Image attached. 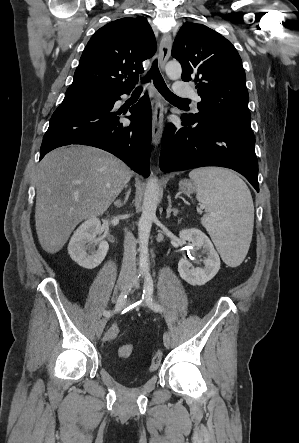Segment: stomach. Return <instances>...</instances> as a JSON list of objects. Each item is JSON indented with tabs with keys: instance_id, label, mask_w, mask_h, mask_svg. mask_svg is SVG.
<instances>
[{
	"instance_id": "stomach-1",
	"label": "stomach",
	"mask_w": 299,
	"mask_h": 443,
	"mask_svg": "<svg viewBox=\"0 0 299 443\" xmlns=\"http://www.w3.org/2000/svg\"><path fill=\"white\" fill-rule=\"evenodd\" d=\"M180 191L186 195H190L198 190L197 184L191 180H181L179 182Z\"/></svg>"
}]
</instances>
